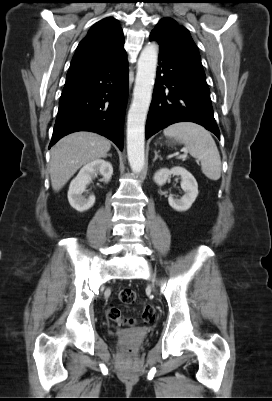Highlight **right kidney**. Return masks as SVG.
I'll use <instances>...</instances> for the list:
<instances>
[{"label":"right kidney","instance_id":"right-kidney-1","mask_svg":"<svg viewBox=\"0 0 272 401\" xmlns=\"http://www.w3.org/2000/svg\"><path fill=\"white\" fill-rule=\"evenodd\" d=\"M98 173L103 176L104 182H109L113 174L112 164L102 159L94 160L83 166L78 175L71 181L68 191V201L77 211L84 212L94 205L95 196L91 194L86 198L83 196V193L86 191V185Z\"/></svg>","mask_w":272,"mask_h":401}]
</instances>
